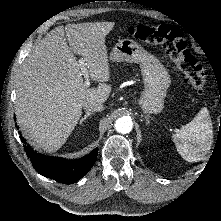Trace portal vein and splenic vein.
<instances>
[{"instance_id": "portal-vein-and-splenic-vein-1", "label": "portal vein and splenic vein", "mask_w": 221, "mask_h": 221, "mask_svg": "<svg viewBox=\"0 0 221 221\" xmlns=\"http://www.w3.org/2000/svg\"><path fill=\"white\" fill-rule=\"evenodd\" d=\"M79 65H80V69H81L82 75H83L84 78H85L84 85H85L86 87H89V86H90L89 73H88V70H87V68L85 67L84 61H83L82 59L79 60Z\"/></svg>"}]
</instances>
